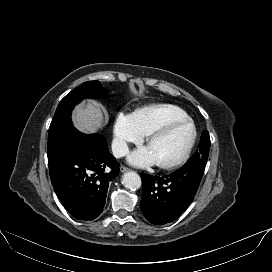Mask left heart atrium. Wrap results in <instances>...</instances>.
Returning a JSON list of instances; mask_svg holds the SVG:
<instances>
[{"mask_svg": "<svg viewBox=\"0 0 272 272\" xmlns=\"http://www.w3.org/2000/svg\"><path fill=\"white\" fill-rule=\"evenodd\" d=\"M129 161L136 166H147L157 163L153 153L148 147L140 148L131 153Z\"/></svg>", "mask_w": 272, "mask_h": 272, "instance_id": "left-heart-atrium-1", "label": "left heart atrium"}]
</instances>
